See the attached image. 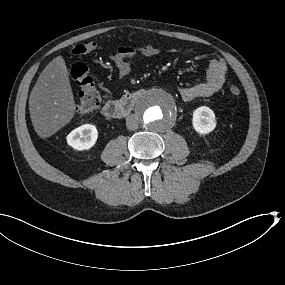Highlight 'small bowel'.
<instances>
[{
  "label": "small bowel",
  "instance_id": "c3829d8e",
  "mask_svg": "<svg viewBox=\"0 0 285 285\" xmlns=\"http://www.w3.org/2000/svg\"><path fill=\"white\" fill-rule=\"evenodd\" d=\"M171 54L187 56L191 53L189 48H173L168 51ZM160 53V50L152 45L140 47H119L110 56L120 77L129 75L132 69V62L137 57L150 58ZM227 66L221 59H213L209 62L205 79L191 86L179 87V93L184 101H191L196 98H206L219 92L226 79Z\"/></svg>",
  "mask_w": 285,
  "mask_h": 285
}]
</instances>
